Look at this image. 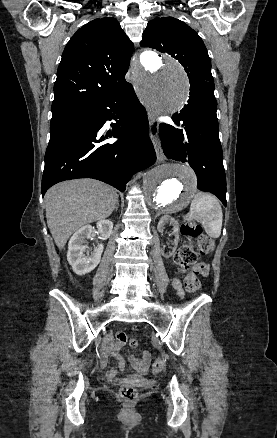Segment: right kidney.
<instances>
[{
	"instance_id": "right-kidney-1",
	"label": "right kidney",
	"mask_w": 277,
	"mask_h": 438,
	"mask_svg": "<svg viewBox=\"0 0 277 438\" xmlns=\"http://www.w3.org/2000/svg\"><path fill=\"white\" fill-rule=\"evenodd\" d=\"M97 228L100 236L107 240L112 234L113 222H110V220H99ZM92 232V226H83V228H80V230L73 234L68 244L67 260L70 266H72L73 272L78 274V276H84V274L95 270L101 260L104 250L103 244H99L93 252H90L89 248L84 246L85 240L91 238Z\"/></svg>"
}]
</instances>
